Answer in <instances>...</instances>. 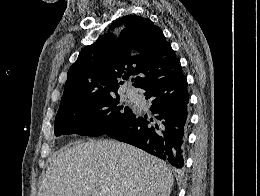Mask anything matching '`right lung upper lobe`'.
Wrapping results in <instances>:
<instances>
[{"mask_svg": "<svg viewBox=\"0 0 260 196\" xmlns=\"http://www.w3.org/2000/svg\"><path fill=\"white\" fill-rule=\"evenodd\" d=\"M115 28V35L107 33L80 52L68 71L59 110L94 94L117 93L122 79L131 75L139 74L133 85L144 89L181 69L162 30L150 19L126 15L110 27Z\"/></svg>", "mask_w": 260, "mask_h": 196, "instance_id": "right-lung-upper-lobe-1", "label": "right lung upper lobe"}]
</instances>
